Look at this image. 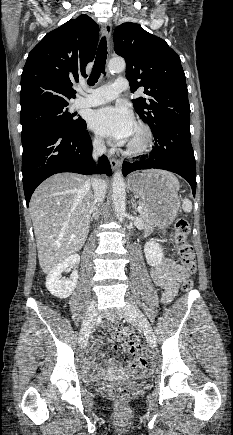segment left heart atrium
<instances>
[{"instance_id": "obj_1", "label": "left heart atrium", "mask_w": 233, "mask_h": 435, "mask_svg": "<svg viewBox=\"0 0 233 435\" xmlns=\"http://www.w3.org/2000/svg\"><path fill=\"white\" fill-rule=\"evenodd\" d=\"M89 123L98 134L119 144L128 140L134 129L132 114L123 103L94 110Z\"/></svg>"}]
</instances>
